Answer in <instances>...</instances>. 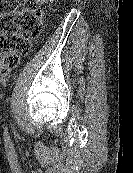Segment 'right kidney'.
<instances>
[{
	"label": "right kidney",
	"instance_id": "ca27d5eb",
	"mask_svg": "<svg viewBox=\"0 0 133 173\" xmlns=\"http://www.w3.org/2000/svg\"><path fill=\"white\" fill-rule=\"evenodd\" d=\"M43 1H46V2H47V1H50V2H53L54 0H43Z\"/></svg>",
	"mask_w": 133,
	"mask_h": 173
}]
</instances>
